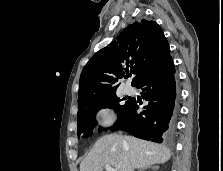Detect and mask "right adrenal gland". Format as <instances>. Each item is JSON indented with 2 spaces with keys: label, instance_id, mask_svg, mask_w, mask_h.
<instances>
[{
  "label": "right adrenal gland",
  "instance_id": "1",
  "mask_svg": "<svg viewBox=\"0 0 223 171\" xmlns=\"http://www.w3.org/2000/svg\"><path fill=\"white\" fill-rule=\"evenodd\" d=\"M147 169L156 170V169H158V166H146L144 168H141L139 171H145Z\"/></svg>",
  "mask_w": 223,
  "mask_h": 171
}]
</instances>
